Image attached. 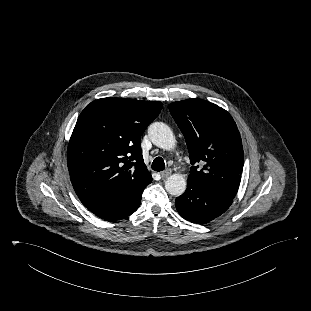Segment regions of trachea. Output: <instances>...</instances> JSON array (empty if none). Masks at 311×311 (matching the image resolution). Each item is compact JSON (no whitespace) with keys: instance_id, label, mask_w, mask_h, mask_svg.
<instances>
[{"instance_id":"trachea-1","label":"trachea","mask_w":311,"mask_h":311,"mask_svg":"<svg viewBox=\"0 0 311 311\" xmlns=\"http://www.w3.org/2000/svg\"><path fill=\"white\" fill-rule=\"evenodd\" d=\"M151 168L154 171H158V172L163 171L165 169V163H164L163 158H161V157L155 158L152 165H151Z\"/></svg>"}]
</instances>
